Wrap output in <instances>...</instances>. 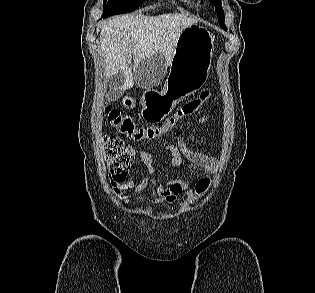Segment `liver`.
<instances>
[{
	"label": "liver",
	"instance_id": "obj_1",
	"mask_svg": "<svg viewBox=\"0 0 315 293\" xmlns=\"http://www.w3.org/2000/svg\"><path fill=\"white\" fill-rule=\"evenodd\" d=\"M196 23V19L179 13L123 15L105 22L100 39L105 55V72L107 76L123 74L124 83L117 88L120 94L134 84L128 67L132 59L138 65L155 54H161L170 62L180 34Z\"/></svg>",
	"mask_w": 315,
	"mask_h": 293
}]
</instances>
